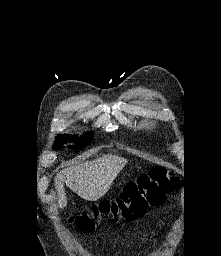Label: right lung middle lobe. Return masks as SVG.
I'll return each instance as SVG.
<instances>
[{"label": "right lung middle lobe", "mask_w": 221, "mask_h": 256, "mask_svg": "<svg viewBox=\"0 0 221 256\" xmlns=\"http://www.w3.org/2000/svg\"><path fill=\"white\" fill-rule=\"evenodd\" d=\"M93 137H94L93 132H88V133H86L85 136H82V137L71 136V135H60V136L56 137L54 148L61 147L63 143L73 142V141H76V143L78 145L73 146L71 148H73V149L81 148V147H84L87 144H89L92 141Z\"/></svg>", "instance_id": "dd1d6c3e"}]
</instances>
